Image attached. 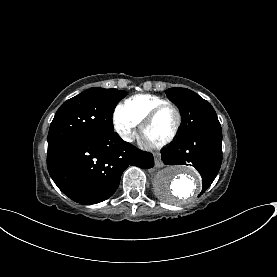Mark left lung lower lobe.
I'll return each instance as SVG.
<instances>
[{
	"label": "left lung lower lobe",
	"instance_id": "obj_1",
	"mask_svg": "<svg viewBox=\"0 0 277 277\" xmlns=\"http://www.w3.org/2000/svg\"><path fill=\"white\" fill-rule=\"evenodd\" d=\"M166 165H192L202 177V192L214 181L222 162V131L207 129L178 137L162 151Z\"/></svg>",
	"mask_w": 277,
	"mask_h": 277
}]
</instances>
